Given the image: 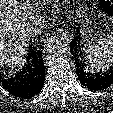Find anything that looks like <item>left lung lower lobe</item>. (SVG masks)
<instances>
[{"mask_svg": "<svg viewBox=\"0 0 113 113\" xmlns=\"http://www.w3.org/2000/svg\"><path fill=\"white\" fill-rule=\"evenodd\" d=\"M80 41L81 34L78 31L77 36H75V38L70 43V48L75 58L76 74L78 76V79L80 80V83L91 90H102L109 87L111 84H113V67L107 73L100 72L92 74L90 72H87L84 68L85 64L81 63V61L79 60V56L77 55L76 52L77 49L80 47Z\"/></svg>", "mask_w": 113, "mask_h": 113, "instance_id": "obj_1", "label": "left lung lower lobe"}]
</instances>
